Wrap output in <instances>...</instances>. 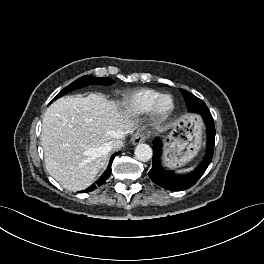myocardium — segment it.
Wrapping results in <instances>:
<instances>
[{"mask_svg": "<svg viewBox=\"0 0 264 264\" xmlns=\"http://www.w3.org/2000/svg\"><path fill=\"white\" fill-rule=\"evenodd\" d=\"M169 101V105L165 106V102ZM175 109L174 98L169 94H163L152 107L151 116L155 123H161L168 119Z\"/></svg>", "mask_w": 264, "mask_h": 264, "instance_id": "1", "label": "myocardium"}]
</instances>
